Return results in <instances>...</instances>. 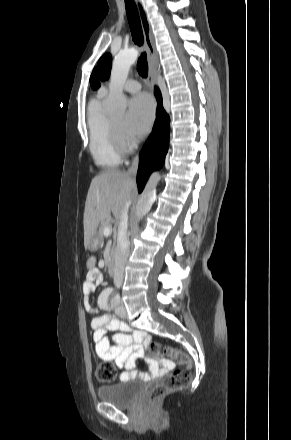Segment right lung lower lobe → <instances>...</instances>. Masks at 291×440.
<instances>
[{
  "label": "right lung lower lobe",
  "mask_w": 291,
  "mask_h": 440,
  "mask_svg": "<svg viewBox=\"0 0 291 440\" xmlns=\"http://www.w3.org/2000/svg\"><path fill=\"white\" fill-rule=\"evenodd\" d=\"M158 100L156 121L148 140L139 154V168L137 173V185L139 192L154 170L162 167L169 146V117L162 106V98L159 90L155 89Z\"/></svg>",
  "instance_id": "98d812e1"
}]
</instances>
